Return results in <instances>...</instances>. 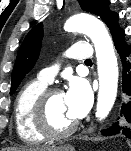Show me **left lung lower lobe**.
Returning a JSON list of instances; mask_svg holds the SVG:
<instances>
[{"label":"left lung lower lobe","mask_w":131,"mask_h":151,"mask_svg":"<svg viewBox=\"0 0 131 151\" xmlns=\"http://www.w3.org/2000/svg\"><path fill=\"white\" fill-rule=\"evenodd\" d=\"M124 32L113 37L122 62V91L124 102L114 122L102 131L104 136L123 135L131 138V47L124 40Z\"/></svg>","instance_id":"left-lung-lower-lobe-1"}]
</instances>
